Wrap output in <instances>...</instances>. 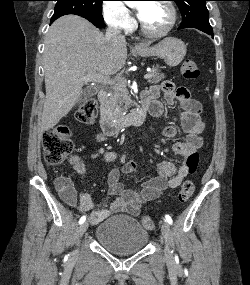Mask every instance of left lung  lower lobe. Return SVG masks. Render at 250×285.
<instances>
[{"label": "left lung lower lobe", "mask_w": 250, "mask_h": 285, "mask_svg": "<svg viewBox=\"0 0 250 285\" xmlns=\"http://www.w3.org/2000/svg\"><path fill=\"white\" fill-rule=\"evenodd\" d=\"M199 30L206 32L207 34H209L213 37V30H208V29H199Z\"/></svg>", "instance_id": "left-lung-lower-lobe-1"}]
</instances>
